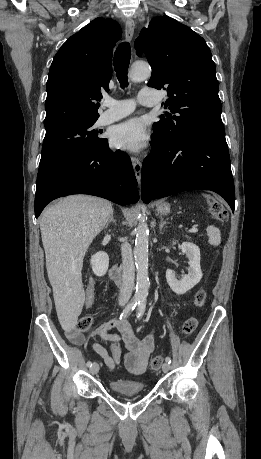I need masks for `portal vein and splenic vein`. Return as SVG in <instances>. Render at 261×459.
Returning a JSON list of instances; mask_svg holds the SVG:
<instances>
[{
	"label": "portal vein and splenic vein",
	"mask_w": 261,
	"mask_h": 459,
	"mask_svg": "<svg viewBox=\"0 0 261 459\" xmlns=\"http://www.w3.org/2000/svg\"><path fill=\"white\" fill-rule=\"evenodd\" d=\"M188 232H190V233H196V232H198V229L195 228V227H193V228L189 229Z\"/></svg>",
	"instance_id": "1"
}]
</instances>
